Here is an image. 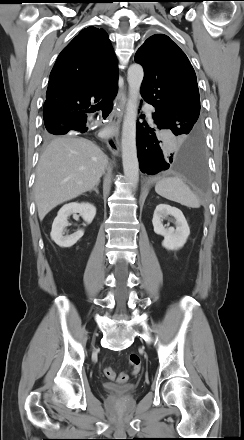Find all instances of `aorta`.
I'll return each instance as SVG.
<instances>
[{
    "label": "aorta",
    "instance_id": "obj_1",
    "mask_svg": "<svg viewBox=\"0 0 244 440\" xmlns=\"http://www.w3.org/2000/svg\"><path fill=\"white\" fill-rule=\"evenodd\" d=\"M144 77L141 65L133 64L128 69L129 95L122 126V162L124 175L129 186L135 190L139 181V163L136 149V120L138 112V99Z\"/></svg>",
    "mask_w": 244,
    "mask_h": 440
}]
</instances>
